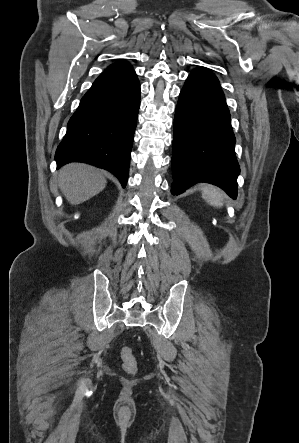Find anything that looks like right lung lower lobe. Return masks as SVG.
<instances>
[{"label":"right lung lower lobe","mask_w":299,"mask_h":443,"mask_svg":"<svg viewBox=\"0 0 299 443\" xmlns=\"http://www.w3.org/2000/svg\"><path fill=\"white\" fill-rule=\"evenodd\" d=\"M140 84L132 67L105 70L82 97L59 144L57 167L72 162L96 165L127 184Z\"/></svg>","instance_id":"1"}]
</instances>
